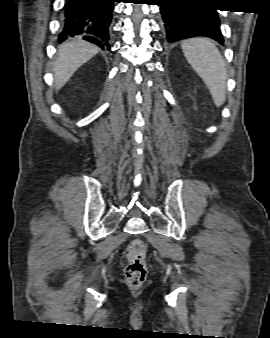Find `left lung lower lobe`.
I'll list each match as a JSON object with an SVG mask.
<instances>
[{"label":"left lung lower lobe","instance_id":"0a47b994","mask_svg":"<svg viewBox=\"0 0 270 338\" xmlns=\"http://www.w3.org/2000/svg\"><path fill=\"white\" fill-rule=\"evenodd\" d=\"M168 43L204 36L223 44L220 20L209 0H159Z\"/></svg>","mask_w":270,"mask_h":338}]
</instances>
